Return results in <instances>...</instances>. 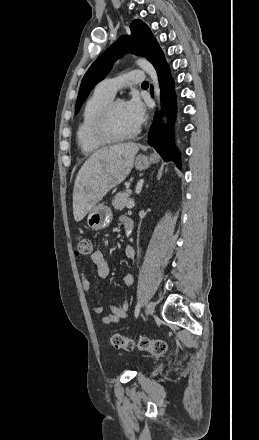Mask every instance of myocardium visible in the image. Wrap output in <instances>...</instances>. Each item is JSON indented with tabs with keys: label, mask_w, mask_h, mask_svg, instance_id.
<instances>
[{
	"label": "myocardium",
	"mask_w": 259,
	"mask_h": 440,
	"mask_svg": "<svg viewBox=\"0 0 259 440\" xmlns=\"http://www.w3.org/2000/svg\"><path fill=\"white\" fill-rule=\"evenodd\" d=\"M120 101L121 100L119 99H112L99 112L92 127V133L96 139L106 143H118L131 140L140 133L139 127H137L134 131L124 135L117 134L114 131L112 124V115L115 105Z\"/></svg>",
	"instance_id": "obj_1"
}]
</instances>
